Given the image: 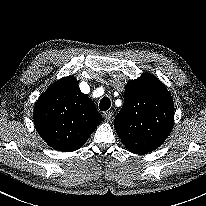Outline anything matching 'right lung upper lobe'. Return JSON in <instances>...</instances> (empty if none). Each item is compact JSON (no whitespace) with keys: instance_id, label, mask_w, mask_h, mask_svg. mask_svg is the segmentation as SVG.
<instances>
[{"instance_id":"cb5924a9","label":"right lung upper lobe","mask_w":206,"mask_h":206,"mask_svg":"<svg viewBox=\"0 0 206 206\" xmlns=\"http://www.w3.org/2000/svg\"><path fill=\"white\" fill-rule=\"evenodd\" d=\"M33 117L39 135L62 152L81 148L102 121L73 76L61 78L39 97Z\"/></svg>"}]
</instances>
